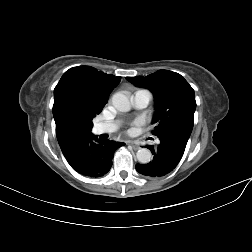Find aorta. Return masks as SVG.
<instances>
[{"label":"aorta","mask_w":252,"mask_h":252,"mask_svg":"<svg viewBox=\"0 0 252 252\" xmlns=\"http://www.w3.org/2000/svg\"><path fill=\"white\" fill-rule=\"evenodd\" d=\"M111 101L114 108L120 112H128L131 109L129 98L123 93H115ZM136 158L141 164H147L152 159V153L147 148H140L136 153Z\"/></svg>","instance_id":"1"}]
</instances>
